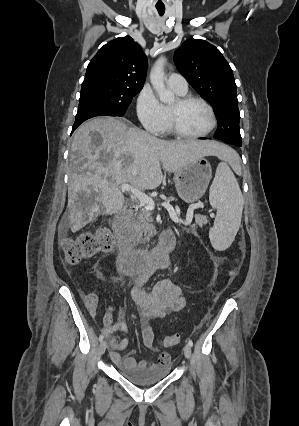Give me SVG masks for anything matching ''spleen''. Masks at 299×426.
<instances>
[{"instance_id": "3e777b00", "label": "spleen", "mask_w": 299, "mask_h": 426, "mask_svg": "<svg viewBox=\"0 0 299 426\" xmlns=\"http://www.w3.org/2000/svg\"><path fill=\"white\" fill-rule=\"evenodd\" d=\"M209 201L217 210L209 231L212 246L223 251L230 247L239 230L243 210V196L232 170L226 162L219 163L209 190Z\"/></svg>"}]
</instances>
